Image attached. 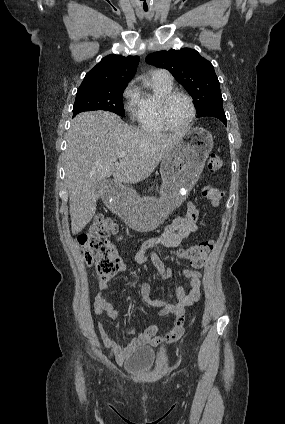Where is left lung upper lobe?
Wrapping results in <instances>:
<instances>
[{"label": "left lung upper lobe", "mask_w": 285, "mask_h": 424, "mask_svg": "<svg viewBox=\"0 0 285 424\" xmlns=\"http://www.w3.org/2000/svg\"><path fill=\"white\" fill-rule=\"evenodd\" d=\"M146 62L165 68L188 91L194 100L197 117L207 109L223 105L219 81L213 65L190 48L151 53Z\"/></svg>", "instance_id": "5c2ea615"}]
</instances>
